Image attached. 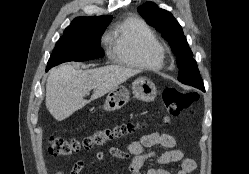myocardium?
<instances>
[{"mask_svg":"<svg viewBox=\"0 0 249 174\" xmlns=\"http://www.w3.org/2000/svg\"><path fill=\"white\" fill-rule=\"evenodd\" d=\"M160 53H161V54H162V56H163L164 50H163V48H162V47L160 48Z\"/></svg>","mask_w":249,"mask_h":174,"instance_id":"obj_1","label":"myocardium"}]
</instances>
